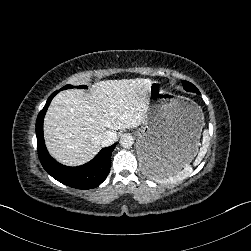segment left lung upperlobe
I'll return each instance as SVG.
<instances>
[{"instance_id": "5c2ea615", "label": "left lung upper lobe", "mask_w": 251, "mask_h": 251, "mask_svg": "<svg viewBox=\"0 0 251 251\" xmlns=\"http://www.w3.org/2000/svg\"><path fill=\"white\" fill-rule=\"evenodd\" d=\"M182 83H183V87L186 91L200 94L199 90L192 83H190L188 81H183Z\"/></svg>"}]
</instances>
